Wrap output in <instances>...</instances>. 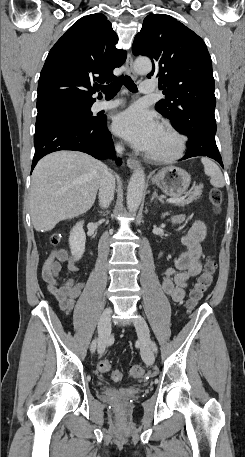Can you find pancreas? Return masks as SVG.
<instances>
[{
	"mask_svg": "<svg viewBox=\"0 0 245 457\" xmlns=\"http://www.w3.org/2000/svg\"><path fill=\"white\" fill-rule=\"evenodd\" d=\"M202 184L200 186H192L188 198L186 200H182V202H175V204H179V206H184V204H189V202H192V200H195V198H198V194H202Z\"/></svg>",
	"mask_w": 245,
	"mask_h": 457,
	"instance_id": "1",
	"label": "pancreas"
}]
</instances>
